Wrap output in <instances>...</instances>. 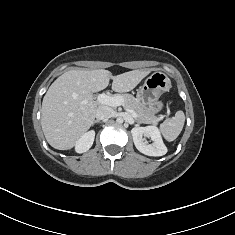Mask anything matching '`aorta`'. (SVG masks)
Listing matches in <instances>:
<instances>
[{
  "mask_svg": "<svg viewBox=\"0 0 235 235\" xmlns=\"http://www.w3.org/2000/svg\"><path fill=\"white\" fill-rule=\"evenodd\" d=\"M116 121H117V123L121 124V123H123V118L118 117Z\"/></svg>",
  "mask_w": 235,
  "mask_h": 235,
  "instance_id": "762f6f07",
  "label": "aorta"
}]
</instances>
